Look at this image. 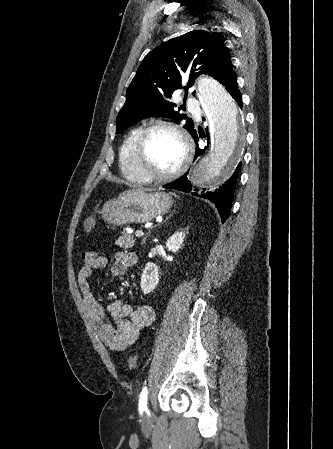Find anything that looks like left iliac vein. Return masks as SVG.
<instances>
[{
	"mask_svg": "<svg viewBox=\"0 0 333 449\" xmlns=\"http://www.w3.org/2000/svg\"><path fill=\"white\" fill-rule=\"evenodd\" d=\"M147 418H148V416L145 414V415H144V419H147Z\"/></svg>",
	"mask_w": 333,
	"mask_h": 449,
	"instance_id": "1",
	"label": "left iliac vein"
}]
</instances>
